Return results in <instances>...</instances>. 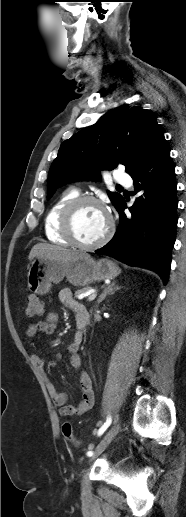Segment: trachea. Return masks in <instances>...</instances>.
<instances>
[{
    "label": "trachea",
    "mask_w": 186,
    "mask_h": 517,
    "mask_svg": "<svg viewBox=\"0 0 186 517\" xmlns=\"http://www.w3.org/2000/svg\"><path fill=\"white\" fill-rule=\"evenodd\" d=\"M117 188H122V186H117Z\"/></svg>",
    "instance_id": "1"
}]
</instances>
